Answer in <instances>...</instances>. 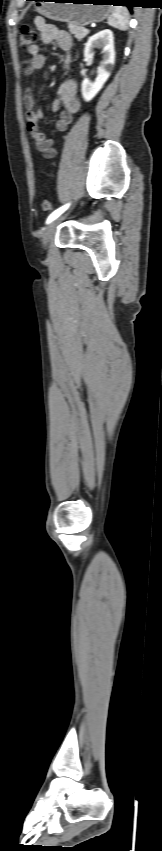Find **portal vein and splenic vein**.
Masks as SVG:
<instances>
[{
	"instance_id": "obj_1",
	"label": "portal vein and splenic vein",
	"mask_w": 162,
	"mask_h": 851,
	"mask_svg": "<svg viewBox=\"0 0 162 851\" xmlns=\"http://www.w3.org/2000/svg\"><path fill=\"white\" fill-rule=\"evenodd\" d=\"M84 31H85V32H88L89 30H88L87 28H85V29H84Z\"/></svg>"
}]
</instances>
